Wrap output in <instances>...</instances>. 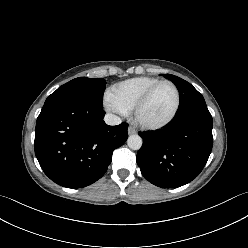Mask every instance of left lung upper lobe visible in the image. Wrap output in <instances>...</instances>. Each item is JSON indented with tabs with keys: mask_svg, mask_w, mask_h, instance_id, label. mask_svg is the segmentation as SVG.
Returning <instances> with one entry per match:
<instances>
[{
	"mask_svg": "<svg viewBox=\"0 0 248 248\" xmlns=\"http://www.w3.org/2000/svg\"><path fill=\"white\" fill-rule=\"evenodd\" d=\"M164 77L170 79L179 90L180 106L177 113H181L198 103L205 102L203 96L187 81L171 74H165Z\"/></svg>",
	"mask_w": 248,
	"mask_h": 248,
	"instance_id": "left-lung-upper-lobe-1",
	"label": "left lung upper lobe"
}]
</instances>
